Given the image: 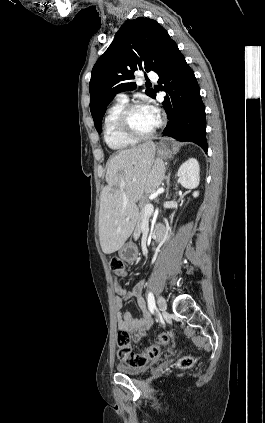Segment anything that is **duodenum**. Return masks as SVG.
Returning <instances> with one entry per match:
<instances>
[{"mask_svg":"<svg viewBox=\"0 0 265 423\" xmlns=\"http://www.w3.org/2000/svg\"><path fill=\"white\" fill-rule=\"evenodd\" d=\"M166 234L165 227H156L155 229V240H154V248L157 247L158 244L162 242Z\"/></svg>","mask_w":265,"mask_h":423,"instance_id":"410a0bca","label":"duodenum"}]
</instances>
